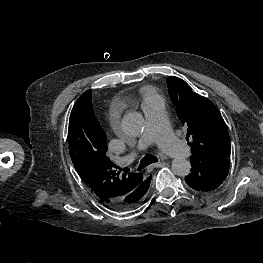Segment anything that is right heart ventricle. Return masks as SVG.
Segmentation results:
<instances>
[{"instance_id":"obj_1","label":"right heart ventricle","mask_w":263,"mask_h":263,"mask_svg":"<svg viewBox=\"0 0 263 263\" xmlns=\"http://www.w3.org/2000/svg\"><path fill=\"white\" fill-rule=\"evenodd\" d=\"M155 98H157V97H156V93L153 89L147 88V89H144L142 91L143 103H146V102L153 100Z\"/></svg>"}]
</instances>
